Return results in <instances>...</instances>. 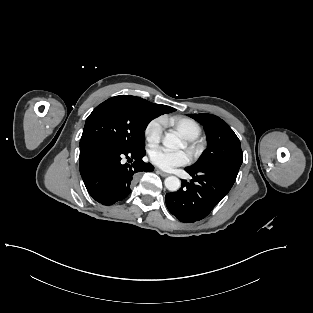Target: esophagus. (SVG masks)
Masks as SVG:
<instances>
[{"label": "esophagus", "instance_id": "1", "mask_svg": "<svg viewBox=\"0 0 313 313\" xmlns=\"http://www.w3.org/2000/svg\"><path fill=\"white\" fill-rule=\"evenodd\" d=\"M157 173L160 174L162 177H167V176H169L168 173L163 172V171H161V170H157Z\"/></svg>", "mask_w": 313, "mask_h": 313}]
</instances>
